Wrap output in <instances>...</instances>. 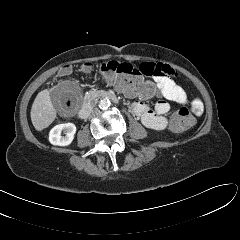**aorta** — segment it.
Returning <instances> with one entry per match:
<instances>
[{
	"label": "aorta",
	"mask_w": 240,
	"mask_h": 240,
	"mask_svg": "<svg viewBox=\"0 0 240 240\" xmlns=\"http://www.w3.org/2000/svg\"><path fill=\"white\" fill-rule=\"evenodd\" d=\"M98 106L100 109L106 110L111 106V102L109 99H102V100H100Z\"/></svg>",
	"instance_id": "762f6f07"
}]
</instances>
